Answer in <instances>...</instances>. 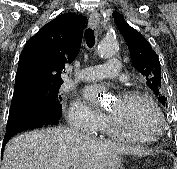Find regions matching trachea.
Returning a JSON list of instances; mask_svg holds the SVG:
<instances>
[{
	"instance_id": "3493384b",
	"label": "trachea",
	"mask_w": 177,
	"mask_h": 169,
	"mask_svg": "<svg viewBox=\"0 0 177 169\" xmlns=\"http://www.w3.org/2000/svg\"><path fill=\"white\" fill-rule=\"evenodd\" d=\"M86 44L89 48H92L95 44V35L94 31L88 28L85 32Z\"/></svg>"
}]
</instances>
